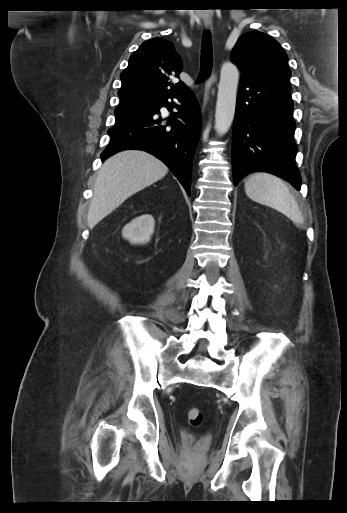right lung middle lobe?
Segmentation results:
<instances>
[{"instance_id":"1","label":"right lung middle lobe","mask_w":347,"mask_h":513,"mask_svg":"<svg viewBox=\"0 0 347 513\" xmlns=\"http://www.w3.org/2000/svg\"><path fill=\"white\" fill-rule=\"evenodd\" d=\"M153 103H148V104H144L142 105L141 107H138V108H134V109H131V108H128V107H122V106H118L116 109H115V114H118V113H122V112H126V111H130V110H135V109H139V108H142V107H146V106H150L152 105Z\"/></svg>"}]
</instances>
